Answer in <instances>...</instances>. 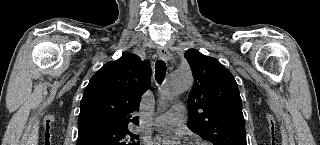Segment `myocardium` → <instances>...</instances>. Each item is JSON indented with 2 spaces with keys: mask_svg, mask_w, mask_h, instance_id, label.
Segmentation results:
<instances>
[{
  "mask_svg": "<svg viewBox=\"0 0 320 145\" xmlns=\"http://www.w3.org/2000/svg\"><path fill=\"white\" fill-rule=\"evenodd\" d=\"M194 145H207V144L204 143V142L197 141V142L194 143Z\"/></svg>",
  "mask_w": 320,
  "mask_h": 145,
  "instance_id": "1",
  "label": "myocardium"
}]
</instances>
